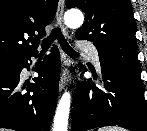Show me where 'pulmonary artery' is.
Here are the masks:
<instances>
[{
  "label": "pulmonary artery",
  "instance_id": "e3ab8cb5",
  "mask_svg": "<svg viewBox=\"0 0 147 131\" xmlns=\"http://www.w3.org/2000/svg\"><path fill=\"white\" fill-rule=\"evenodd\" d=\"M79 48L85 52H87L90 57L92 58L93 62L95 63L98 70H101L100 60H99V53L97 49L89 43L81 42L79 43Z\"/></svg>",
  "mask_w": 147,
  "mask_h": 131
}]
</instances>
